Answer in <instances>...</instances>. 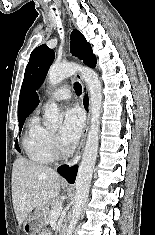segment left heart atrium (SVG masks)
<instances>
[{
	"mask_svg": "<svg viewBox=\"0 0 155 235\" xmlns=\"http://www.w3.org/2000/svg\"><path fill=\"white\" fill-rule=\"evenodd\" d=\"M84 115L78 108H70L64 114L61 140L65 145H73L79 139L84 127Z\"/></svg>",
	"mask_w": 155,
	"mask_h": 235,
	"instance_id": "obj_1",
	"label": "left heart atrium"
}]
</instances>
